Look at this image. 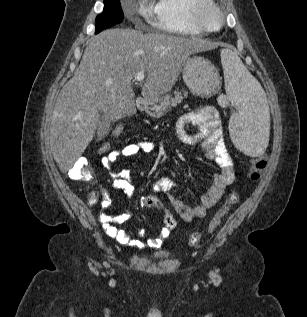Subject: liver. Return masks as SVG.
Listing matches in <instances>:
<instances>
[{
    "label": "liver",
    "instance_id": "6515ba94",
    "mask_svg": "<svg viewBox=\"0 0 307 317\" xmlns=\"http://www.w3.org/2000/svg\"><path fill=\"white\" fill-rule=\"evenodd\" d=\"M215 43L133 29H109L92 37L74 76L63 86L53 111L50 148L66 173L92 141L102 111L110 121L135 113L132 81L146 74L141 94L158 100L176 83L189 55Z\"/></svg>",
    "mask_w": 307,
    "mask_h": 317
}]
</instances>
